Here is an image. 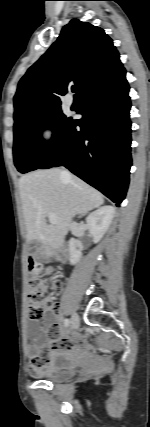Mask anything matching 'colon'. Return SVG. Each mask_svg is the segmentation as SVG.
Listing matches in <instances>:
<instances>
[{"mask_svg": "<svg viewBox=\"0 0 150 427\" xmlns=\"http://www.w3.org/2000/svg\"><path fill=\"white\" fill-rule=\"evenodd\" d=\"M30 279L28 284V303L30 319L38 321L43 317L46 309L51 310V293L57 286L53 281L52 272L44 269L32 257L29 259Z\"/></svg>", "mask_w": 150, "mask_h": 427, "instance_id": "1", "label": "colon"}]
</instances>
